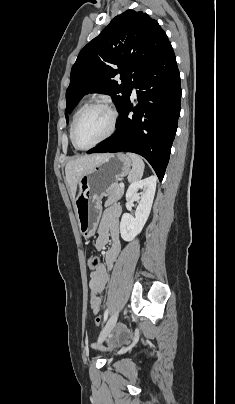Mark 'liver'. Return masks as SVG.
I'll return each instance as SVG.
<instances>
[{
	"mask_svg": "<svg viewBox=\"0 0 235 404\" xmlns=\"http://www.w3.org/2000/svg\"><path fill=\"white\" fill-rule=\"evenodd\" d=\"M107 154H92L79 156L66 164L65 174L66 180L70 187L71 198L75 200L77 191V185L79 180L87 173H89L93 167L99 164Z\"/></svg>",
	"mask_w": 235,
	"mask_h": 404,
	"instance_id": "obj_1",
	"label": "liver"
}]
</instances>
